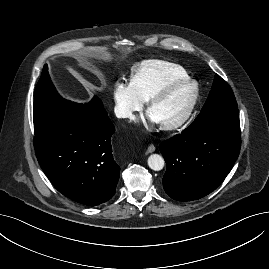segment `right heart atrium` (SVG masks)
I'll return each mask as SVG.
<instances>
[{
  "instance_id": "1",
  "label": "right heart atrium",
  "mask_w": 269,
  "mask_h": 269,
  "mask_svg": "<svg viewBox=\"0 0 269 269\" xmlns=\"http://www.w3.org/2000/svg\"><path fill=\"white\" fill-rule=\"evenodd\" d=\"M114 111L118 118L133 120L140 112L145 101L137 93L131 82L118 80L112 88Z\"/></svg>"
}]
</instances>
